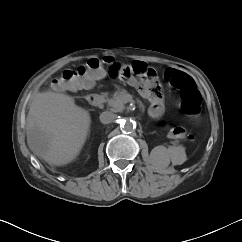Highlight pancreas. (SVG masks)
Returning <instances> with one entry per match:
<instances>
[{
    "label": "pancreas",
    "instance_id": "obj_1",
    "mask_svg": "<svg viewBox=\"0 0 242 242\" xmlns=\"http://www.w3.org/2000/svg\"><path fill=\"white\" fill-rule=\"evenodd\" d=\"M128 95L127 91L122 89L117 93L116 96L108 98L107 94L103 96L106 98L108 106L114 112H121L124 110V105L129 101L126 96Z\"/></svg>",
    "mask_w": 242,
    "mask_h": 242
}]
</instances>
